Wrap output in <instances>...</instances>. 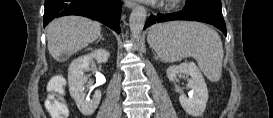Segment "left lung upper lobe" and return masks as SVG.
<instances>
[{"mask_svg":"<svg viewBox=\"0 0 273 118\" xmlns=\"http://www.w3.org/2000/svg\"><path fill=\"white\" fill-rule=\"evenodd\" d=\"M187 2L191 4L204 5L219 12H222L221 0H187Z\"/></svg>","mask_w":273,"mask_h":118,"instance_id":"1","label":"left lung upper lobe"}]
</instances>
